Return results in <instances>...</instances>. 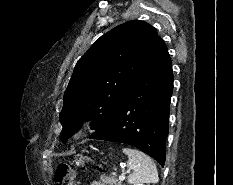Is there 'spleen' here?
Listing matches in <instances>:
<instances>
[{
	"label": "spleen",
	"instance_id": "obj_1",
	"mask_svg": "<svg viewBox=\"0 0 233 185\" xmlns=\"http://www.w3.org/2000/svg\"><path fill=\"white\" fill-rule=\"evenodd\" d=\"M123 153L128 156L127 166L132 170V174L128 177L130 184L144 185L143 183L158 182L156 165L148 155L132 148H123Z\"/></svg>",
	"mask_w": 233,
	"mask_h": 185
}]
</instances>
